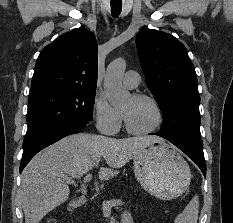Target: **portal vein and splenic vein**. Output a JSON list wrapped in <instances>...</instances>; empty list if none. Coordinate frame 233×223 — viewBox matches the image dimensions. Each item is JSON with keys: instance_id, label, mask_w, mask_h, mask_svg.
<instances>
[{"instance_id": "portal-vein-and-splenic-vein-1", "label": "portal vein and splenic vein", "mask_w": 233, "mask_h": 223, "mask_svg": "<svg viewBox=\"0 0 233 223\" xmlns=\"http://www.w3.org/2000/svg\"><path fill=\"white\" fill-rule=\"evenodd\" d=\"M64 179H65V181H67V183H75V179H73V177H69V175H64ZM90 179H92V173H87V175H85V177H83L82 181H83V183H88V181H90ZM103 205L122 206L123 202L122 201H117V202L103 201Z\"/></svg>"}]
</instances>
